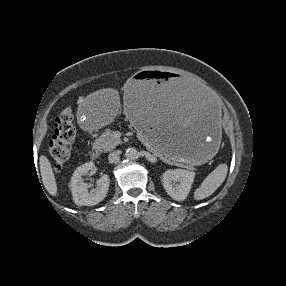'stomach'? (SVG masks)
I'll return each instance as SVG.
<instances>
[{
  "instance_id": "0dacf381",
  "label": "stomach",
  "mask_w": 286,
  "mask_h": 286,
  "mask_svg": "<svg viewBox=\"0 0 286 286\" xmlns=\"http://www.w3.org/2000/svg\"><path fill=\"white\" fill-rule=\"evenodd\" d=\"M121 108L119 94L100 87L78 102L75 116L82 127L98 130ZM124 114L151 147L178 162L205 163L220 144L223 104L211 86L187 74L138 70L126 85Z\"/></svg>"
}]
</instances>
